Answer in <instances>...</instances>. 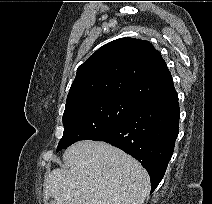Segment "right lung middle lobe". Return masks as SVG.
Masks as SVG:
<instances>
[{
  "label": "right lung middle lobe",
  "mask_w": 212,
  "mask_h": 204,
  "mask_svg": "<svg viewBox=\"0 0 212 204\" xmlns=\"http://www.w3.org/2000/svg\"><path fill=\"white\" fill-rule=\"evenodd\" d=\"M139 102L118 96L96 98L65 108L64 133L57 151L79 140H91L108 132L128 117Z\"/></svg>",
  "instance_id": "1"
}]
</instances>
